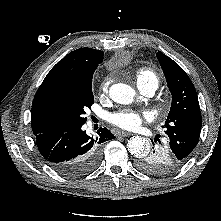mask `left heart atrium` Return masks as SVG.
<instances>
[{
    "label": "left heart atrium",
    "instance_id": "obj_1",
    "mask_svg": "<svg viewBox=\"0 0 221 221\" xmlns=\"http://www.w3.org/2000/svg\"><path fill=\"white\" fill-rule=\"evenodd\" d=\"M107 120L119 128L133 130L141 124L142 115L134 110H122L109 114Z\"/></svg>",
    "mask_w": 221,
    "mask_h": 221
}]
</instances>
